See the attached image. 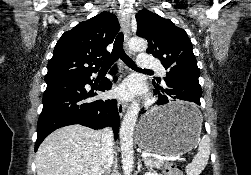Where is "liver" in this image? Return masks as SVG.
Masks as SVG:
<instances>
[{
  "label": "liver",
  "instance_id": "liver-1",
  "mask_svg": "<svg viewBox=\"0 0 251 175\" xmlns=\"http://www.w3.org/2000/svg\"><path fill=\"white\" fill-rule=\"evenodd\" d=\"M101 133L66 125L50 133L36 153L37 175H100Z\"/></svg>",
  "mask_w": 251,
  "mask_h": 175
}]
</instances>
